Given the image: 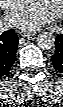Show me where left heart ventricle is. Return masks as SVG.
<instances>
[{"label": "left heart ventricle", "instance_id": "obj_1", "mask_svg": "<svg viewBox=\"0 0 63 107\" xmlns=\"http://www.w3.org/2000/svg\"><path fill=\"white\" fill-rule=\"evenodd\" d=\"M42 4L49 10V11H53L54 8L57 6V0H44L42 1Z\"/></svg>", "mask_w": 63, "mask_h": 107}]
</instances>
